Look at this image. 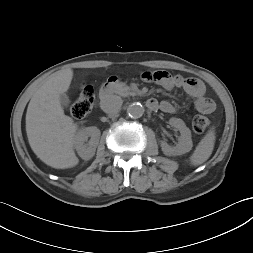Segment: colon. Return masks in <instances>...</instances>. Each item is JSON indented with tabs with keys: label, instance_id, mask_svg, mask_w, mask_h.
<instances>
[{
	"label": "colon",
	"instance_id": "5ec220e1",
	"mask_svg": "<svg viewBox=\"0 0 253 253\" xmlns=\"http://www.w3.org/2000/svg\"><path fill=\"white\" fill-rule=\"evenodd\" d=\"M95 103V93L92 86L83 87L77 99L70 108V113L74 118L80 119L91 112ZM210 121L207 116L198 114L192 120L193 130L197 133L204 132L209 126Z\"/></svg>",
	"mask_w": 253,
	"mask_h": 253
}]
</instances>
